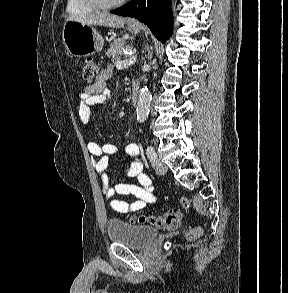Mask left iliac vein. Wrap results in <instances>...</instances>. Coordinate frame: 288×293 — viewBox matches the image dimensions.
<instances>
[{"label": "left iliac vein", "mask_w": 288, "mask_h": 293, "mask_svg": "<svg viewBox=\"0 0 288 293\" xmlns=\"http://www.w3.org/2000/svg\"><path fill=\"white\" fill-rule=\"evenodd\" d=\"M154 168L155 171L160 175H164L167 172V166L159 159L154 162Z\"/></svg>", "instance_id": "obj_1"}]
</instances>
